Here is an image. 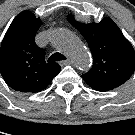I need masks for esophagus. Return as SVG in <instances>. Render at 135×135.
<instances>
[{"label":"esophagus","mask_w":135,"mask_h":135,"mask_svg":"<svg viewBox=\"0 0 135 135\" xmlns=\"http://www.w3.org/2000/svg\"><path fill=\"white\" fill-rule=\"evenodd\" d=\"M71 63H72V61L69 58H67L65 61H60L61 66L68 65V64H71Z\"/></svg>","instance_id":"1"}]
</instances>
